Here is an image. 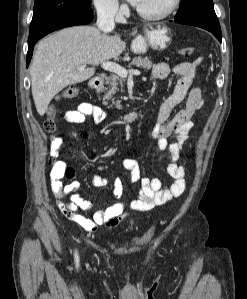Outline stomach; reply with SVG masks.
<instances>
[{"label": "stomach", "instance_id": "1", "mask_svg": "<svg viewBox=\"0 0 247 299\" xmlns=\"http://www.w3.org/2000/svg\"><path fill=\"white\" fill-rule=\"evenodd\" d=\"M145 35L138 36L131 45V50L137 54H145L149 48L165 50L172 42L171 30L165 24H148L144 29Z\"/></svg>", "mask_w": 247, "mask_h": 299}]
</instances>
